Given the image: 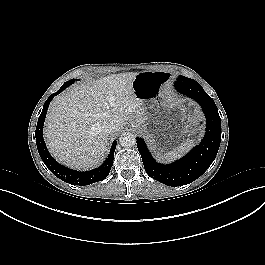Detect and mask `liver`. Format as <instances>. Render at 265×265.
Wrapping results in <instances>:
<instances>
[{"mask_svg":"<svg viewBox=\"0 0 265 265\" xmlns=\"http://www.w3.org/2000/svg\"><path fill=\"white\" fill-rule=\"evenodd\" d=\"M129 72L80 84L58 96L49 106L44 137L50 153L64 165L88 170L103 161L108 135L101 125L114 120L116 133L129 121L141 119V101L136 97Z\"/></svg>","mask_w":265,"mask_h":265,"instance_id":"1","label":"liver"}]
</instances>
